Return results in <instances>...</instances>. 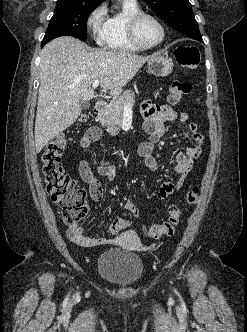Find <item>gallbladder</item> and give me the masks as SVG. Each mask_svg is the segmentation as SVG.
<instances>
[{"label":"gallbladder","mask_w":247,"mask_h":332,"mask_svg":"<svg viewBox=\"0 0 247 332\" xmlns=\"http://www.w3.org/2000/svg\"><path fill=\"white\" fill-rule=\"evenodd\" d=\"M89 106H90V103L89 102H82L81 103V107H82V109H88L89 108Z\"/></svg>","instance_id":"obj_1"}]
</instances>
